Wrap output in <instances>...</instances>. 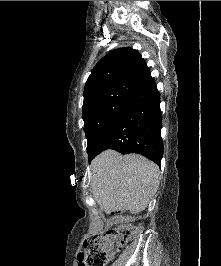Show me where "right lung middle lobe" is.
Wrapping results in <instances>:
<instances>
[{
	"mask_svg": "<svg viewBox=\"0 0 221 266\" xmlns=\"http://www.w3.org/2000/svg\"><path fill=\"white\" fill-rule=\"evenodd\" d=\"M140 88L121 85L98 89L84 97L82 111L89 157Z\"/></svg>",
	"mask_w": 221,
	"mask_h": 266,
	"instance_id": "1",
	"label": "right lung middle lobe"
}]
</instances>
